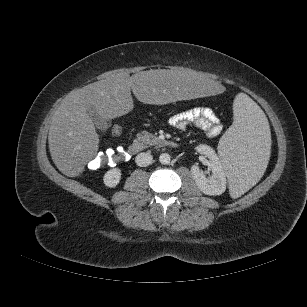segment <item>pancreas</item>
<instances>
[{
  "label": "pancreas",
  "instance_id": "obj_1",
  "mask_svg": "<svg viewBox=\"0 0 307 307\" xmlns=\"http://www.w3.org/2000/svg\"><path fill=\"white\" fill-rule=\"evenodd\" d=\"M161 143V140L155 135L142 131L137 134V138L134 140V144H140L142 147L155 146Z\"/></svg>",
  "mask_w": 307,
  "mask_h": 307
}]
</instances>
